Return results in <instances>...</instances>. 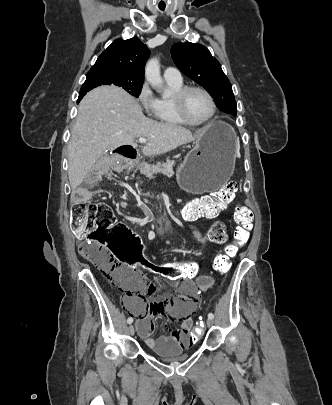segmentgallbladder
<instances>
[{"instance_id":"bac80fb5","label":"gallbladder","mask_w":332,"mask_h":405,"mask_svg":"<svg viewBox=\"0 0 332 405\" xmlns=\"http://www.w3.org/2000/svg\"><path fill=\"white\" fill-rule=\"evenodd\" d=\"M106 159V156H103V157H101L100 159H99V161H102V160H105Z\"/></svg>"}]
</instances>
